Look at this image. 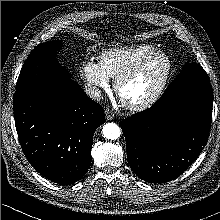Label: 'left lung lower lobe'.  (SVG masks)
<instances>
[{"label": "left lung lower lobe", "mask_w": 220, "mask_h": 220, "mask_svg": "<svg viewBox=\"0 0 220 220\" xmlns=\"http://www.w3.org/2000/svg\"><path fill=\"white\" fill-rule=\"evenodd\" d=\"M210 83L191 84L121 122L131 169L163 183L183 173L205 146L212 120Z\"/></svg>", "instance_id": "0a47b994"}]
</instances>
